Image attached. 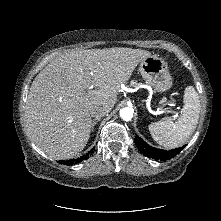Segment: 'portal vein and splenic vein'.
Masks as SVG:
<instances>
[{"mask_svg": "<svg viewBox=\"0 0 221 221\" xmlns=\"http://www.w3.org/2000/svg\"><path fill=\"white\" fill-rule=\"evenodd\" d=\"M163 112H168V113H174L175 115L173 116L174 118H176L178 115H177V112L174 111V110H171V109H162L160 108Z\"/></svg>", "mask_w": 221, "mask_h": 221, "instance_id": "18ae733b", "label": "portal vein and splenic vein"}]
</instances>
